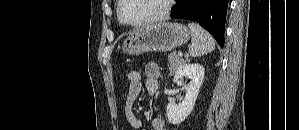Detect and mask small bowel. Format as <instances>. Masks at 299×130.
Instances as JSON below:
<instances>
[{"label":"small bowel","instance_id":"1","mask_svg":"<svg viewBox=\"0 0 299 130\" xmlns=\"http://www.w3.org/2000/svg\"><path fill=\"white\" fill-rule=\"evenodd\" d=\"M144 72L146 75L144 83L145 88L149 94H153L158 88V77L160 75L159 67L157 64L150 62L145 65ZM142 88V81L137 85L129 86L124 104L125 118L134 129H140L142 127L141 120L137 117L133 110L134 103L140 95ZM151 126L152 130H165L164 121L159 117L152 120Z\"/></svg>","mask_w":299,"mask_h":130}]
</instances>
